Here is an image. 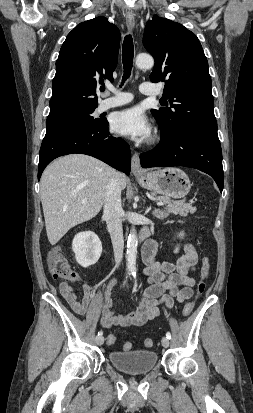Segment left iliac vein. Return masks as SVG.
I'll list each match as a JSON object with an SVG mask.
<instances>
[{
	"instance_id": "obj_1",
	"label": "left iliac vein",
	"mask_w": 253,
	"mask_h": 413,
	"mask_svg": "<svg viewBox=\"0 0 253 413\" xmlns=\"http://www.w3.org/2000/svg\"><path fill=\"white\" fill-rule=\"evenodd\" d=\"M161 343H162V346L165 347V348H168V347H169V344H170V342H169V340L167 339V337H163L162 340H161Z\"/></svg>"
}]
</instances>
